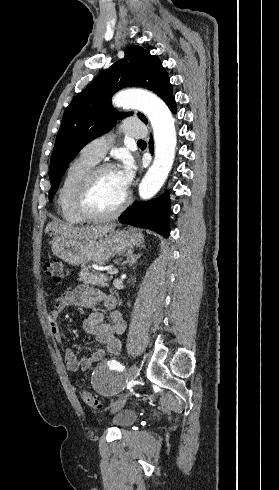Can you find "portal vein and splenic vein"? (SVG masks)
<instances>
[{"label":"portal vein and splenic vein","mask_w":279,"mask_h":490,"mask_svg":"<svg viewBox=\"0 0 279 490\" xmlns=\"http://www.w3.org/2000/svg\"><path fill=\"white\" fill-rule=\"evenodd\" d=\"M107 274H117L118 270H115V268H106Z\"/></svg>","instance_id":"obj_1"}]
</instances>
